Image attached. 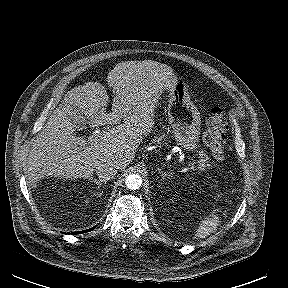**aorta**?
Returning a JSON list of instances; mask_svg holds the SVG:
<instances>
[{"label": "aorta", "instance_id": "1", "mask_svg": "<svg viewBox=\"0 0 288 288\" xmlns=\"http://www.w3.org/2000/svg\"><path fill=\"white\" fill-rule=\"evenodd\" d=\"M125 184L130 190H137L142 185V177L139 174H129L125 179Z\"/></svg>", "mask_w": 288, "mask_h": 288}]
</instances>
